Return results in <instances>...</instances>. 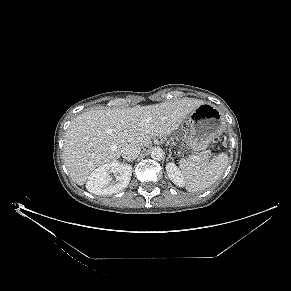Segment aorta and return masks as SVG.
<instances>
[{
    "mask_svg": "<svg viewBox=\"0 0 291 291\" xmlns=\"http://www.w3.org/2000/svg\"><path fill=\"white\" fill-rule=\"evenodd\" d=\"M151 157L154 160L160 161L164 158V151L159 147H154L151 150Z\"/></svg>",
    "mask_w": 291,
    "mask_h": 291,
    "instance_id": "aorta-1",
    "label": "aorta"
}]
</instances>
